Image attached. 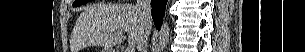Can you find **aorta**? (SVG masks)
I'll list each match as a JSON object with an SVG mask.
<instances>
[{
	"label": "aorta",
	"instance_id": "aorta-1",
	"mask_svg": "<svg viewBox=\"0 0 305 52\" xmlns=\"http://www.w3.org/2000/svg\"><path fill=\"white\" fill-rule=\"evenodd\" d=\"M170 34L171 31H170L169 23L167 21H164L159 31V37H158L159 50H164L167 47L170 40Z\"/></svg>",
	"mask_w": 305,
	"mask_h": 52
}]
</instances>
